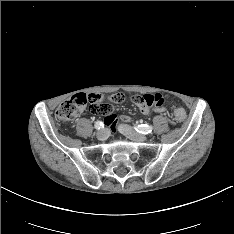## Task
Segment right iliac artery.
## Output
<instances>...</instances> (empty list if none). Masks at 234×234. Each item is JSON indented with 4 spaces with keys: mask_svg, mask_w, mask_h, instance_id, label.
I'll use <instances>...</instances> for the list:
<instances>
[{
    "mask_svg": "<svg viewBox=\"0 0 234 234\" xmlns=\"http://www.w3.org/2000/svg\"><path fill=\"white\" fill-rule=\"evenodd\" d=\"M94 126H95L96 129H101V128L104 127V125H103V123L101 121L95 122Z\"/></svg>",
    "mask_w": 234,
    "mask_h": 234,
    "instance_id": "82829eb1",
    "label": "right iliac artery"
}]
</instances>
